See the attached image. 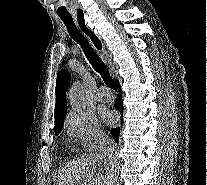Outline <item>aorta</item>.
I'll return each mask as SVG.
<instances>
[{
	"mask_svg": "<svg viewBox=\"0 0 207 185\" xmlns=\"http://www.w3.org/2000/svg\"><path fill=\"white\" fill-rule=\"evenodd\" d=\"M69 103L73 110H82L85 108V92L83 85L77 81L74 82L68 92Z\"/></svg>",
	"mask_w": 207,
	"mask_h": 185,
	"instance_id": "1",
	"label": "aorta"
}]
</instances>
